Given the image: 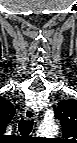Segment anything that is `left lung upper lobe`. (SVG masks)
<instances>
[{
    "label": "left lung upper lobe",
    "instance_id": "obj_1",
    "mask_svg": "<svg viewBox=\"0 0 77 143\" xmlns=\"http://www.w3.org/2000/svg\"><path fill=\"white\" fill-rule=\"evenodd\" d=\"M54 113L61 121L63 137L66 140L75 139L77 137V101L74 99L60 101Z\"/></svg>",
    "mask_w": 77,
    "mask_h": 143
}]
</instances>
